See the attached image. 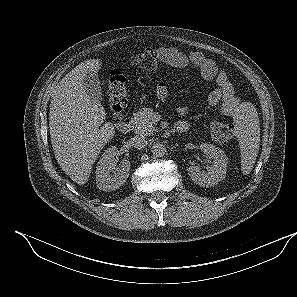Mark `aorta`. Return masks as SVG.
I'll list each match as a JSON object with an SVG mask.
<instances>
[{
    "label": "aorta",
    "instance_id": "1",
    "mask_svg": "<svg viewBox=\"0 0 297 297\" xmlns=\"http://www.w3.org/2000/svg\"><path fill=\"white\" fill-rule=\"evenodd\" d=\"M166 147L162 143H156L152 146L151 152L155 157H162L166 154Z\"/></svg>",
    "mask_w": 297,
    "mask_h": 297
}]
</instances>
